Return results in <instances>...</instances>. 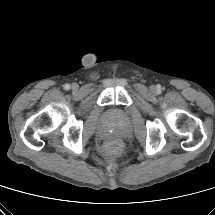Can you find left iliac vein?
<instances>
[{
  "instance_id": "left-iliac-vein-1",
  "label": "left iliac vein",
  "mask_w": 215,
  "mask_h": 215,
  "mask_svg": "<svg viewBox=\"0 0 215 215\" xmlns=\"http://www.w3.org/2000/svg\"><path fill=\"white\" fill-rule=\"evenodd\" d=\"M150 90H151L152 92H154V91H155V87H154V86H151V87H150Z\"/></svg>"
}]
</instances>
